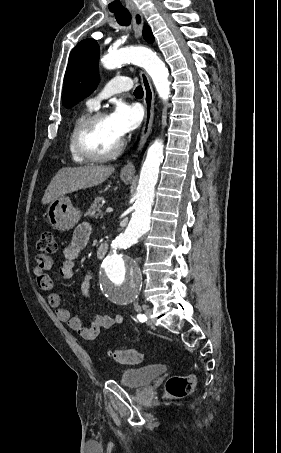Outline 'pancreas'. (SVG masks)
I'll use <instances>...</instances> for the list:
<instances>
[{"mask_svg": "<svg viewBox=\"0 0 281 453\" xmlns=\"http://www.w3.org/2000/svg\"><path fill=\"white\" fill-rule=\"evenodd\" d=\"M103 200V196H97V198H95L93 204H91V206H89L88 208V216H92V218H103L104 216V212L102 210L103 208V204H101Z\"/></svg>", "mask_w": 281, "mask_h": 453, "instance_id": "cf45deb5", "label": "pancreas"}]
</instances>
